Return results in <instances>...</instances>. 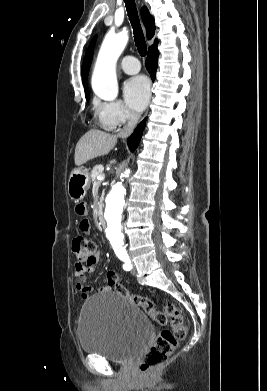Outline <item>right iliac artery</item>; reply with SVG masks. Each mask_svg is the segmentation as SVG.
Here are the masks:
<instances>
[{
    "instance_id": "obj_1",
    "label": "right iliac artery",
    "mask_w": 267,
    "mask_h": 391,
    "mask_svg": "<svg viewBox=\"0 0 267 391\" xmlns=\"http://www.w3.org/2000/svg\"><path fill=\"white\" fill-rule=\"evenodd\" d=\"M121 260H122L123 262H125L124 265H123L124 270H126V271L131 270L132 265H131V263H130L129 257L126 256V257H124V258H121Z\"/></svg>"
}]
</instances>
